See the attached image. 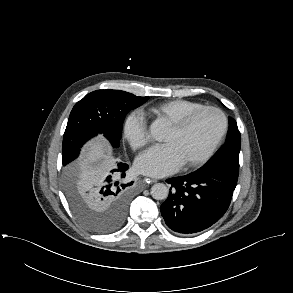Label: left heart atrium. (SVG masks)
<instances>
[{
  "mask_svg": "<svg viewBox=\"0 0 293 293\" xmlns=\"http://www.w3.org/2000/svg\"><path fill=\"white\" fill-rule=\"evenodd\" d=\"M183 165L182 158L173 145L154 146L142 153L135 162L139 173L162 177L175 172Z\"/></svg>",
  "mask_w": 293,
  "mask_h": 293,
  "instance_id": "1",
  "label": "left heart atrium"
}]
</instances>
